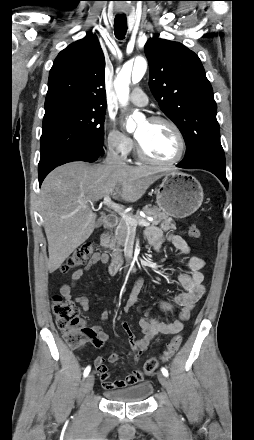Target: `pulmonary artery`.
Returning a JSON list of instances; mask_svg holds the SVG:
<instances>
[{
	"mask_svg": "<svg viewBox=\"0 0 254 440\" xmlns=\"http://www.w3.org/2000/svg\"><path fill=\"white\" fill-rule=\"evenodd\" d=\"M130 101L138 106H145L148 102L147 96L141 88H135L130 97Z\"/></svg>",
	"mask_w": 254,
	"mask_h": 440,
	"instance_id": "1",
	"label": "pulmonary artery"
}]
</instances>
